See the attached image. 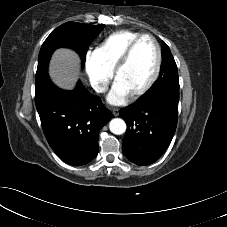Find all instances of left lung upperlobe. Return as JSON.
I'll return each mask as SVG.
<instances>
[{"mask_svg":"<svg viewBox=\"0 0 227 227\" xmlns=\"http://www.w3.org/2000/svg\"><path fill=\"white\" fill-rule=\"evenodd\" d=\"M157 92H169L179 95V79L175 60L168 45L162 42V64L158 80L142 98Z\"/></svg>","mask_w":227,"mask_h":227,"instance_id":"1","label":"left lung upper lobe"}]
</instances>
